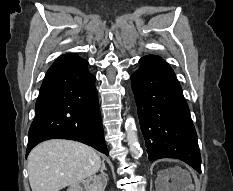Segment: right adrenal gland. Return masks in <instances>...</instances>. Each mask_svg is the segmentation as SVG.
Listing matches in <instances>:
<instances>
[{"instance_id":"2a0ac1e0","label":"right adrenal gland","mask_w":233,"mask_h":191,"mask_svg":"<svg viewBox=\"0 0 233 191\" xmlns=\"http://www.w3.org/2000/svg\"><path fill=\"white\" fill-rule=\"evenodd\" d=\"M107 169H106V167H105V162H104V160L102 161V166H101V169H100V172H101V175H103L105 178H106V180L108 179V175L104 172V171H106Z\"/></svg>"}]
</instances>
